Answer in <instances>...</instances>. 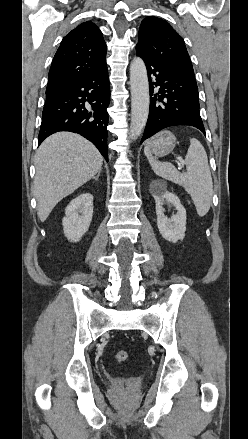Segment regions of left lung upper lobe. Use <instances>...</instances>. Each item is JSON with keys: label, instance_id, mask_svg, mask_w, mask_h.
Segmentation results:
<instances>
[{"label": "left lung upper lobe", "instance_id": "1", "mask_svg": "<svg viewBox=\"0 0 248 439\" xmlns=\"http://www.w3.org/2000/svg\"><path fill=\"white\" fill-rule=\"evenodd\" d=\"M136 48L151 59L194 76L184 40L165 20L146 17L140 25Z\"/></svg>", "mask_w": 248, "mask_h": 439}]
</instances>
